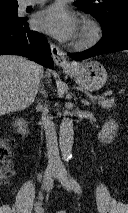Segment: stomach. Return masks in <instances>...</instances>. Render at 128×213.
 Returning a JSON list of instances; mask_svg holds the SVG:
<instances>
[{
    "instance_id": "0dacf381",
    "label": "stomach",
    "mask_w": 128,
    "mask_h": 213,
    "mask_svg": "<svg viewBox=\"0 0 128 213\" xmlns=\"http://www.w3.org/2000/svg\"><path fill=\"white\" fill-rule=\"evenodd\" d=\"M66 73L72 76L79 86L88 91L100 89L107 81L106 69L97 61L76 64Z\"/></svg>"
}]
</instances>
